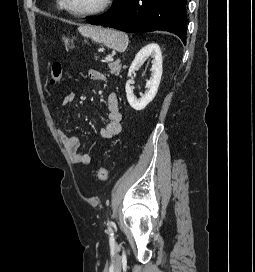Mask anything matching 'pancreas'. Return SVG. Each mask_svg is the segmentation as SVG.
<instances>
[{
  "mask_svg": "<svg viewBox=\"0 0 255 272\" xmlns=\"http://www.w3.org/2000/svg\"><path fill=\"white\" fill-rule=\"evenodd\" d=\"M121 70L120 61H115L109 64V72L114 75H119Z\"/></svg>",
  "mask_w": 255,
  "mask_h": 272,
  "instance_id": "obj_1",
  "label": "pancreas"
}]
</instances>
